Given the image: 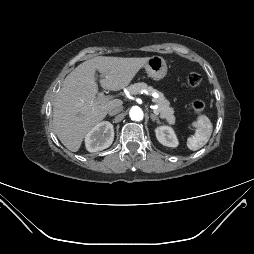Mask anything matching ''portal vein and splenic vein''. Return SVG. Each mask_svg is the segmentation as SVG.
Instances as JSON below:
<instances>
[{"label":"portal vein and splenic vein","mask_w":254,"mask_h":254,"mask_svg":"<svg viewBox=\"0 0 254 254\" xmlns=\"http://www.w3.org/2000/svg\"><path fill=\"white\" fill-rule=\"evenodd\" d=\"M107 100H108V97L105 96L103 93L98 94V97H97L98 103H103V102H106ZM154 113L158 115L157 106H154Z\"/></svg>","instance_id":"18ae733b"}]
</instances>
